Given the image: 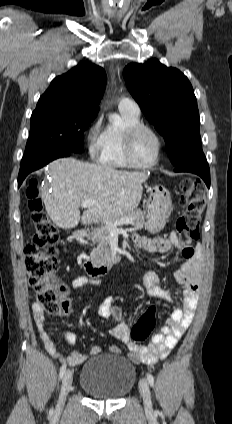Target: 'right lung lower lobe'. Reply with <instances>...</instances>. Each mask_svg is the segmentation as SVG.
Here are the masks:
<instances>
[{"label":"right lung lower lobe","instance_id":"right-lung-lower-lobe-1","mask_svg":"<svg viewBox=\"0 0 232 424\" xmlns=\"http://www.w3.org/2000/svg\"><path fill=\"white\" fill-rule=\"evenodd\" d=\"M72 155L71 152L63 151V152H46L39 154L29 161L25 163H21L19 176H18V187L22 184L25 177L30 173L33 172L39 168H42L49 162L61 158V157H69Z\"/></svg>","mask_w":232,"mask_h":424}]
</instances>
